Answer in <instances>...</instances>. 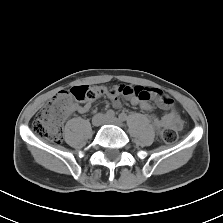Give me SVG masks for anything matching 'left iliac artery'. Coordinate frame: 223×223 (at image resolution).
Listing matches in <instances>:
<instances>
[{
  "label": "left iliac artery",
  "mask_w": 223,
  "mask_h": 223,
  "mask_svg": "<svg viewBox=\"0 0 223 223\" xmlns=\"http://www.w3.org/2000/svg\"><path fill=\"white\" fill-rule=\"evenodd\" d=\"M126 118H127V115L124 114V113H121V114L119 115V119L122 120V121H125Z\"/></svg>",
  "instance_id": "left-iliac-artery-1"
}]
</instances>
